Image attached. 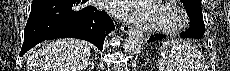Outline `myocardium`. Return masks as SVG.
Listing matches in <instances>:
<instances>
[{
  "instance_id": "myocardium-1",
  "label": "myocardium",
  "mask_w": 230,
  "mask_h": 71,
  "mask_svg": "<svg viewBox=\"0 0 230 71\" xmlns=\"http://www.w3.org/2000/svg\"><path fill=\"white\" fill-rule=\"evenodd\" d=\"M156 7L160 10L169 12L173 15L174 20L171 22L154 21L150 28L158 33L172 34L183 30L188 24V15L186 11L172 1H157Z\"/></svg>"
}]
</instances>
